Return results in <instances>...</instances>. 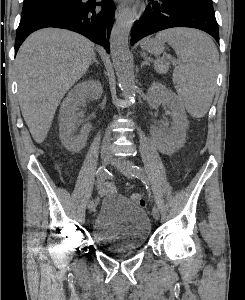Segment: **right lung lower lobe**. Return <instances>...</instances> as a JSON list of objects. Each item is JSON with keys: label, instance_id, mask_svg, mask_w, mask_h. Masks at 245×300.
<instances>
[{"label": "right lung lower lobe", "instance_id": "1", "mask_svg": "<svg viewBox=\"0 0 245 300\" xmlns=\"http://www.w3.org/2000/svg\"><path fill=\"white\" fill-rule=\"evenodd\" d=\"M100 5L102 9L97 6ZM115 7L111 0H83L81 4L63 6L20 20L15 41V54L32 32L56 27L78 32L110 52L109 36L114 23Z\"/></svg>", "mask_w": 245, "mask_h": 300}]
</instances>
